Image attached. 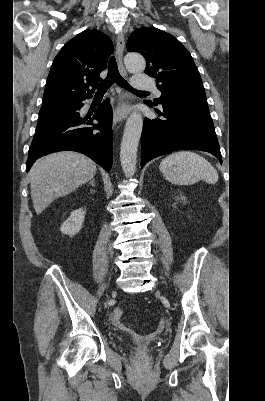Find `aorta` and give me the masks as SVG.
Segmentation results:
<instances>
[{
  "label": "aorta",
  "mask_w": 265,
  "mask_h": 401,
  "mask_svg": "<svg viewBox=\"0 0 265 401\" xmlns=\"http://www.w3.org/2000/svg\"><path fill=\"white\" fill-rule=\"evenodd\" d=\"M125 66L129 72H142L146 66V60L142 54L128 52L124 58ZM143 118L140 112H131L124 128V134L120 146V162L126 176H133L136 170L137 150L142 132Z\"/></svg>",
  "instance_id": "762f6f07"
}]
</instances>
